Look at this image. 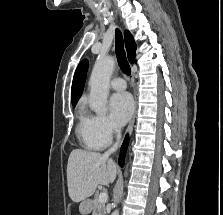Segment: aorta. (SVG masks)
Returning a JSON list of instances; mask_svg holds the SVG:
<instances>
[{
	"mask_svg": "<svg viewBox=\"0 0 223 215\" xmlns=\"http://www.w3.org/2000/svg\"><path fill=\"white\" fill-rule=\"evenodd\" d=\"M115 68V60L111 56H98L89 80V106L96 113H107L106 102L109 94V82ZM111 215H119L115 209Z\"/></svg>",
	"mask_w": 223,
	"mask_h": 215,
	"instance_id": "1",
	"label": "aorta"
}]
</instances>
